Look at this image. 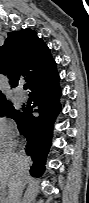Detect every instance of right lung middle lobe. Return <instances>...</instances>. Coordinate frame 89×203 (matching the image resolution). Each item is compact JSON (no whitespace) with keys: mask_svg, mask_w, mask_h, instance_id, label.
Returning a JSON list of instances; mask_svg holds the SVG:
<instances>
[{"mask_svg":"<svg viewBox=\"0 0 89 203\" xmlns=\"http://www.w3.org/2000/svg\"><path fill=\"white\" fill-rule=\"evenodd\" d=\"M23 112L24 107L22 108V111H18L9 103L0 107V116L6 114L8 117L14 119L17 123L21 119Z\"/></svg>","mask_w":89,"mask_h":203,"instance_id":"dd1d6c3e","label":"right lung middle lobe"}]
</instances>
